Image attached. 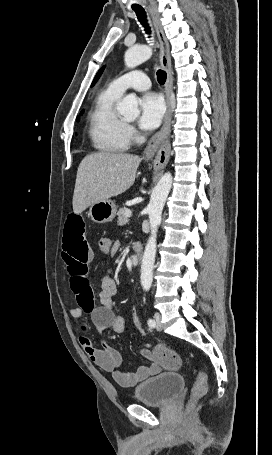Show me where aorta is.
Returning <instances> with one entry per match:
<instances>
[{
  "instance_id": "762f6f07",
  "label": "aorta",
  "mask_w": 272,
  "mask_h": 455,
  "mask_svg": "<svg viewBox=\"0 0 272 455\" xmlns=\"http://www.w3.org/2000/svg\"><path fill=\"white\" fill-rule=\"evenodd\" d=\"M152 56V49L147 45L130 47L124 55L125 65L134 68L147 61ZM121 115L135 119L140 115L138 101L135 95H127L118 105ZM172 175L165 173L154 188L147 206L151 234L145 247L141 265V285L148 291L152 285L153 267L156 255V238L158 226L161 223L162 211L172 186Z\"/></svg>"
}]
</instances>
